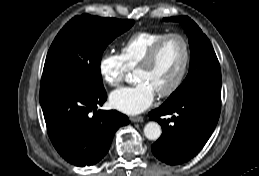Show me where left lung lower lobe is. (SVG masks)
<instances>
[{
  "label": "left lung lower lobe",
  "mask_w": 259,
  "mask_h": 176,
  "mask_svg": "<svg viewBox=\"0 0 259 176\" xmlns=\"http://www.w3.org/2000/svg\"><path fill=\"white\" fill-rule=\"evenodd\" d=\"M220 110V97L199 94L151 111L150 119L162 126L161 137L151 147L153 154L169 165L189 161L213 133ZM164 115L172 117L164 119Z\"/></svg>",
  "instance_id": "left-lung-lower-lobe-1"
}]
</instances>
